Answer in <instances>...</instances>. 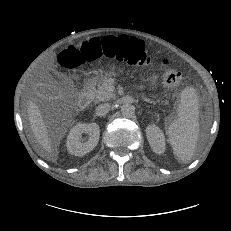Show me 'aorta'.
<instances>
[{"label":"aorta","instance_id":"obj_1","mask_svg":"<svg viewBox=\"0 0 231 231\" xmlns=\"http://www.w3.org/2000/svg\"><path fill=\"white\" fill-rule=\"evenodd\" d=\"M135 108L131 104H123L121 106V113L124 117H131L134 114Z\"/></svg>","mask_w":231,"mask_h":231}]
</instances>
